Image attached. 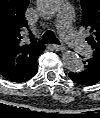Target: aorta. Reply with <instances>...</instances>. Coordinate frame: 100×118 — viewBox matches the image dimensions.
Here are the masks:
<instances>
[{
    "label": "aorta",
    "mask_w": 100,
    "mask_h": 118,
    "mask_svg": "<svg viewBox=\"0 0 100 118\" xmlns=\"http://www.w3.org/2000/svg\"><path fill=\"white\" fill-rule=\"evenodd\" d=\"M61 5V0H37V9L44 15L55 14ZM62 61L66 69L71 72H80L83 70L81 58L72 51L62 53Z\"/></svg>",
    "instance_id": "obj_1"
}]
</instances>
